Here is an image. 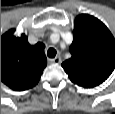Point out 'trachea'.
I'll return each instance as SVG.
<instances>
[{"label": "trachea", "mask_w": 115, "mask_h": 114, "mask_svg": "<svg viewBox=\"0 0 115 114\" xmlns=\"http://www.w3.org/2000/svg\"><path fill=\"white\" fill-rule=\"evenodd\" d=\"M56 50L54 48H49L47 51V56L49 58H54L56 56Z\"/></svg>", "instance_id": "obj_1"}]
</instances>
